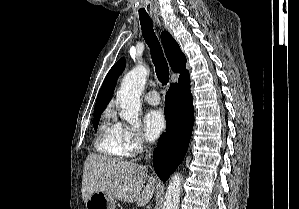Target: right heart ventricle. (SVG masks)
I'll use <instances>...</instances> for the list:
<instances>
[{
	"instance_id": "1",
	"label": "right heart ventricle",
	"mask_w": 299,
	"mask_h": 209,
	"mask_svg": "<svg viewBox=\"0 0 299 209\" xmlns=\"http://www.w3.org/2000/svg\"><path fill=\"white\" fill-rule=\"evenodd\" d=\"M96 148L107 155L123 157L125 150L120 142L119 130L116 123L104 120L98 130L95 141Z\"/></svg>"
}]
</instances>
